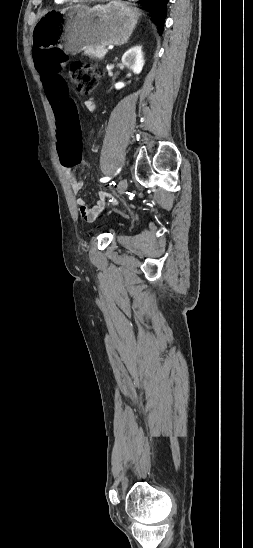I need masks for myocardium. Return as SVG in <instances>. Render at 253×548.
<instances>
[{
  "label": "myocardium",
  "instance_id": "f54148a6",
  "mask_svg": "<svg viewBox=\"0 0 253 548\" xmlns=\"http://www.w3.org/2000/svg\"><path fill=\"white\" fill-rule=\"evenodd\" d=\"M71 2H87V1H101V0H66Z\"/></svg>",
  "mask_w": 253,
  "mask_h": 548
}]
</instances>
